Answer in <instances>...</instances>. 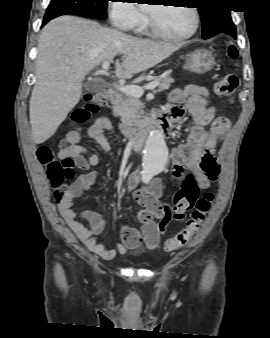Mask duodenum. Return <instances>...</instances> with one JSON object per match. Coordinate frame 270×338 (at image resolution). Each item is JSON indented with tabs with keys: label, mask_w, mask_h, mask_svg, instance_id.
<instances>
[{
	"label": "duodenum",
	"mask_w": 270,
	"mask_h": 338,
	"mask_svg": "<svg viewBox=\"0 0 270 338\" xmlns=\"http://www.w3.org/2000/svg\"><path fill=\"white\" fill-rule=\"evenodd\" d=\"M108 99L112 104L120 102L119 92L115 89L107 91ZM158 129L162 134H170V123L167 117L160 112L154 114L149 122H144L138 127L136 138L134 141V148L140 150L143 148L148 134L153 130Z\"/></svg>",
	"instance_id": "1"
}]
</instances>
